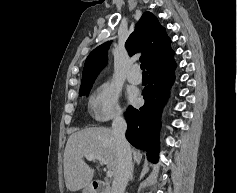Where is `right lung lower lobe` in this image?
Here are the masks:
<instances>
[{"label": "right lung lower lobe", "instance_id": "1", "mask_svg": "<svg viewBox=\"0 0 237 193\" xmlns=\"http://www.w3.org/2000/svg\"><path fill=\"white\" fill-rule=\"evenodd\" d=\"M174 52L152 64L148 69L149 83L143 91L145 105L139 109L130 106L125 113L128 123L127 140L147 152V159L157 162L161 111L174 81L176 63Z\"/></svg>", "mask_w": 237, "mask_h": 193}]
</instances>
